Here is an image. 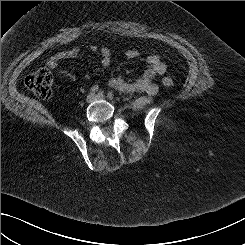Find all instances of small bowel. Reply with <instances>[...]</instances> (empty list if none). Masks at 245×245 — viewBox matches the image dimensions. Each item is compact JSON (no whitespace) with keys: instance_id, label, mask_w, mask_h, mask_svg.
Segmentation results:
<instances>
[{"instance_id":"small-bowel-1","label":"small bowel","mask_w":245,"mask_h":245,"mask_svg":"<svg viewBox=\"0 0 245 245\" xmlns=\"http://www.w3.org/2000/svg\"><path fill=\"white\" fill-rule=\"evenodd\" d=\"M86 47L101 57V64L103 66L107 67L111 64L112 53L109 49L99 48L92 44L87 45ZM82 52V47H76L69 51L56 53L48 59L47 66L51 69H56L61 61L76 58L80 56ZM139 56L140 53L134 49H130L125 52V57L127 59H136ZM145 62L147 64V68L139 79L130 82L122 77H113L108 81V86L125 94L146 93L151 96L155 95L158 91V87L153 80L166 71V65L157 55L147 56ZM58 72L70 80L76 79V74L70 70L59 69ZM96 89L97 87L92 88L93 91Z\"/></svg>"}]
</instances>
